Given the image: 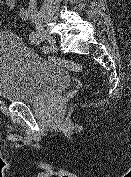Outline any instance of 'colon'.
<instances>
[{
	"instance_id": "5ec220e1",
	"label": "colon",
	"mask_w": 131,
	"mask_h": 177,
	"mask_svg": "<svg viewBox=\"0 0 131 177\" xmlns=\"http://www.w3.org/2000/svg\"><path fill=\"white\" fill-rule=\"evenodd\" d=\"M18 0H1V9L3 13L7 14L10 17H14L17 12ZM49 61L54 64H57L65 69H68L72 72H83L84 68L81 64L69 60H64L55 57H48Z\"/></svg>"
}]
</instances>
